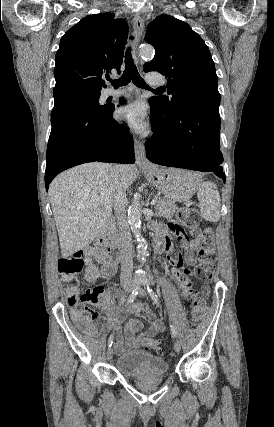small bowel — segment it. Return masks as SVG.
I'll return each instance as SVG.
<instances>
[{"mask_svg":"<svg viewBox=\"0 0 274 427\" xmlns=\"http://www.w3.org/2000/svg\"><path fill=\"white\" fill-rule=\"evenodd\" d=\"M157 225L153 224L152 226L154 232L158 231ZM198 246V244H194L191 250H185L183 256L171 252L165 258L164 263L176 269H182L185 264H195L196 257L194 253L198 257L213 256L216 253L215 251H200ZM83 254L86 266L84 279L87 283L95 282L100 276L111 277L115 274L118 261L112 255L110 245L95 244L87 247ZM208 266L213 268L214 264L210 263L208 265L206 261H198L196 264L195 276L200 278L201 284H212L214 282L213 271L212 269H207ZM176 275L177 284H184L186 289L192 290L189 295L185 296V299L194 300V293L196 294L200 290L196 286V282L189 275H181L180 271H177ZM205 293H208L207 289H205ZM95 304L101 310L110 313V321L116 326L126 318L128 312H135L137 307L139 313H146L148 309L146 299H138L135 305L126 306L124 299L120 295L114 292L104 293L103 290H101ZM149 314L151 326L139 336L137 333L142 328V321L139 318H130L127 321L124 333L118 332L113 343L114 351L117 354L137 349L141 345V339L154 337L164 331L165 325L163 321L153 312L149 311ZM71 317L79 329L87 335L103 334L109 328V322L104 317L98 312L87 308H74L71 311Z\"/></svg>","mask_w":274,"mask_h":427,"instance_id":"1","label":"small bowel"}]
</instances>
